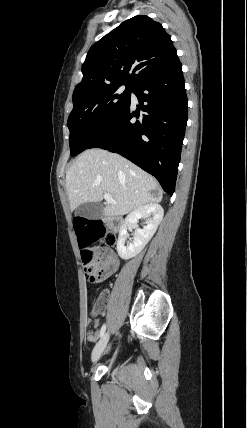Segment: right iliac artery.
<instances>
[{
    "instance_id": "obj_1",
    "label": "right iliac artery",
    "mask_w": 247,
    "mask_h": 428,
    "mask_svg": "<svg viewBox=\"0 0 247 428\" xmlns=\"http://www.w3.org/2000/svg\"><path fill=\"white\" fill-rule=\"evenodd\" d=\"M105 330H106V325L105 324H103V326L101 327V329H100V337H102L103 335H104V333H105Z\"/></svg>"
}]
</instances>
